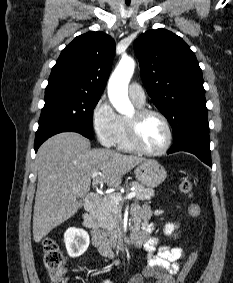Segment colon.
<instances>
[{
    "instance_id": "5ec220e1",
    "label": "colon",
    "mask_w": 233,
    "mask_h": 283,
    "mask_svg": "<svg viewBox=\"0 0 233 283\" xmlns=\"http://www.w3.org/2000/svg\"><path fill=\"white\" fill-rule=\"evenodd\" d=\"M179 191L188 196L193 197V184L190 180H182L179 184ZM189 214L198 218L201 215V208L198 204L192 202L188 208ZM43 262L48 271L51 283H67L65 258L59 248V245L51 238H47L43 242ZM199 256L198 250L191 253L185 265L183 266L177 278V283H184L189 272L195 265Z\"/></svg>"
}]
</instances>
